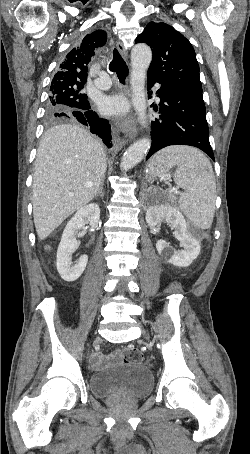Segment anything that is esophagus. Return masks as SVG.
<instances>
[{
  "instance_id": "1",
  "label": "esophagus",
  "mask_w": 250,
  "mask_h": 454,
  "mask_svg": "<svg viewBox=\"0 0 250 454\" xmlns=\"http://www.w3.org/2000/svg\"><path fill=\"white\" fill-rule=\"evenodd\" d=\"M117 49L123 56V58L126 59L128 52L121 41L117 42ZM119 127L122 130V132L125 133L126 136L129 137L130 139H134L136 137L138 129L132 114L128 115L125 119L119 122Z\"/></svg>"
}]
</instances>
